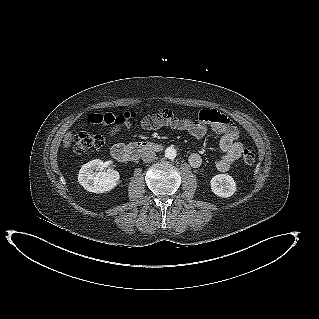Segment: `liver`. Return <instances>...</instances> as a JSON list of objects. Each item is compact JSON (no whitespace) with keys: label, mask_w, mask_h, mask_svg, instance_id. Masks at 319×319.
<instances>
[{"label":"liver","mask_w":319,"mask_h":319,"mask_svg":"<svg viewBox=\"0 0 319 319\" xmlns=\"http://www.w3.org/2000/svg\"><path fill=\"white\" fill-rule=\"evenodd\" d=\"M73 137V134L71 132H67L64 136V140H63V145L65 148H68L71 144V141H72V138Z\"/></svg>","instance_id":"obj_1"}]
</instances>
